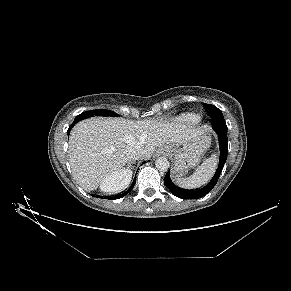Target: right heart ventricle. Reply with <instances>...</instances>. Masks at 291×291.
Instances as JSON below:
<instances>
[{"mask_svg": "<svg viewBox=\"0 0 291 291\" xmlns=\"http://www.w3.org/2000/svg\"><path fill=\"white\" fill-rule=\"evenodd\" d=\"M182 122H185L187 124H195L198 123L201 119L200 115L195 113H187L179 118Z\"/></svg>", "mask_w": 291, "mask_h": 291, "instance_id": "obj_1", "label": "right heart ventricle"}]
</instances>
